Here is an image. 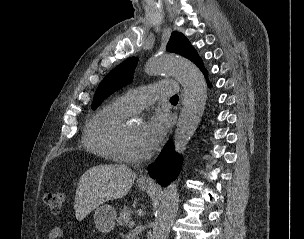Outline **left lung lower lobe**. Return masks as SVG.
<instances>
[{
    "label": "left lung lower lobe",
    "mask_w": 304,
    "mask_h": 239,
    "mask_svg": "<svg viewBox=\"0 0 304 239\" xmlns=\"http://www.w3.org/2000/svg\"><path fill=\"white\" fill-rule=\"evenodd\" d=\"M197 66L207 78L208 72L205 69L203 62L201 61ZM207 83L211 87L208 80ZM179 167L180 158L174 152L173 144L168 142L156 159L155 163L149 166V174L152 178L156 179L159 184L162 186H167L177 176Z\"/></svg>",
    "instance_id": "obj_1"
}]
</instances>
